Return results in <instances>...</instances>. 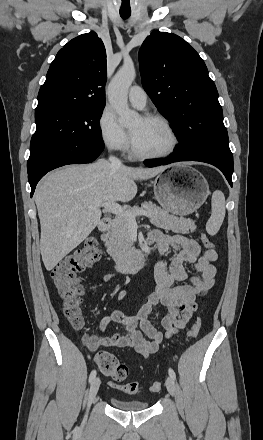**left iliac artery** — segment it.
I'll use <instances>...</instances> for the list:
<instances>
[{
	"label": "left iliac artery",
	"instance_id": "left-iliac-artery-1",
	"mask_svg": "<svg viewBox=\"0 0 263 440\" xmlns=\"http://www.w3.org/2000/svg\"><path fill=\"white\" fill-rule=\"evenodd\" d=\"M169 375L173 380L176 379V374H175L174 370L171 368H169Z\"/></svg>",
	"mask_w": 263,
	"mask_h": 440
}]
</instances>
